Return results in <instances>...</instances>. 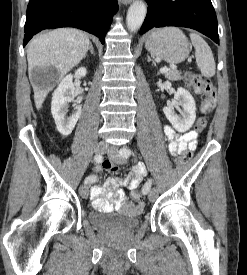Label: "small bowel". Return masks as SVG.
Masks as SVG:
<instances>
[{
    "instance_id": "1",
    "label": "small bowel",
    "mask_w": 247,
    "mask_h": 275,
    "mask_svg": "<svg viewBox=\"0 0 247 275\" xmlns=\"http://www.w3.org/2000/svg\"><path fill=\"white\" fill-rule=\"evenodd\" d=\"M164 134L168 141V149L171 155L175 156L189 149L195 150L197 144L196 131L190 130L183 134H178L171 126H164ZM101 168L96 167L95 171ZM113 167L109 171H115ZM145 168L139 164L131 171L130 177H110L102 185H96L91 189V202L95 209L100 211H112L120 209L128 213H137L141 209V203L128 201L125 188L134 190L139 187L145 176ZM114 200V204L111 202Z\"/></svg>"
}]
</instances>
